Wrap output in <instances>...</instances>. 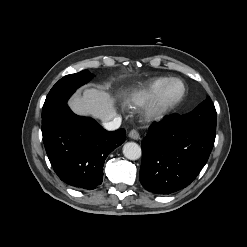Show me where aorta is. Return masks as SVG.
<instances>
[{
    "mask_svg": "<svg viewBox=\"0 0 247 247\" xmlns=\"http://www.w3.org/2000/svg\"><path fill=\"white\" fill-rule=\"evenodd\" d=\"M141 153V147L135 142H127L123 146V154L129 160L139 159Z\"/></svg>",
    "mask_w": 247,
    "mask_h": 247,
    "instance_id": "aorta-1",
    "label": "aorta"
}]
</instances>
